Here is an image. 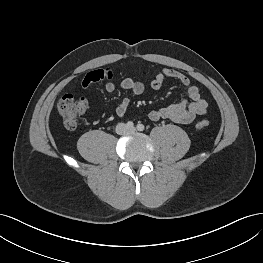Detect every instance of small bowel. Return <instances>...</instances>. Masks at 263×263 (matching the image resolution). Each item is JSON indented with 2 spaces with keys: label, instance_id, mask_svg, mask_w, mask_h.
Masks as SVG:
<instances>
[{
  "label": "small bowel",
  "instance_id": "obj_1",
  "mask_svg": "<svg viewBox=\"0 0 263 263\" xmlns=\"http://www.w3.org/2000/svg\"><path fill=\"white\" fill-rule=\"evenodd\" d=\"M174 79L183 85L189 97V101L183 100L180 103L171 104L153 110L149 113V118L152 121L171 120L179 124H190L199 115H203L207 111V102L201 97L197 86L193 85L190 78L185 74L174 69H162L158 71L151 81V88L158 90L162 87L164 81L167 79ZM106 79L105 91L113 93L116 90V84L113 81L114 71L112 68H104L88 72L81 80V87L88 89L94 83ZM120 86L122 89L130 91L133 95L138 96L144 93L145 85L130 77L124 78ZM130 104L129 98H123L116 107V115L124 116Z\"/></svg>",
  "mask_w": 263,
  "mask_h": 263
}]
</instances>
